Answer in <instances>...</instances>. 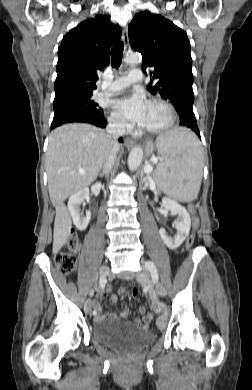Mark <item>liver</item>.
Wrapping results in <instances>:
<instances>
[{"label": "liver", "instance_id": "obj_1", "mask_svg": "<svg viewBox=\"0 0 252 390\" xmlns=\"http://www.w3.org/2000/svg\"><path fill=\"white\" fill-rule=\"evenodd\" d=\"M113 143L110 135L89 124H67L51 133L46 171L50 200L56 208L53 254L59 252L71 235L72 220L65 199L97 178Z\"/></svg>", "mask_w": 252, "mask_h": 390}]
</instances>
